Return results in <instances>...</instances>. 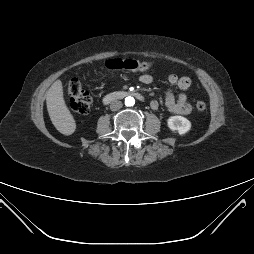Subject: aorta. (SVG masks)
Masks as SVG:
<instances>
[{
    "label": "aorta",
    "mask_w": 254,
    "mask_h": 254,
    "mask_svg": "<svg viewBox=\"0 0 254 254\" xmlns=\"http://www.w3.org/2000/svg\"><path fill=\"white\" fill-rule=\"evenodd\" d=\"M135 104V99L131 96L125 98V105L126 106H133Z\"/></svg>",
    "instance_id": "aorta-1"
}]
</instances>
